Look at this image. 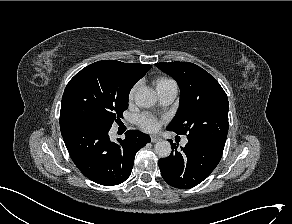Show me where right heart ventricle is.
<instances>
[{
    "label": "right heart ventricle",
    "mask_w": 292,
    "mask_h": 224,
    "mask_svg": "<svg viewBox=\"0 0 292 224\" xmlns=\"http://www.w3.org/2000/svg\"><path fill=\"white\" fill-rule=\"evenodd\" d=\"M171 83H175L174 81H172L171 79H167V78H160L156 81V88H160L163 87L167 84H171Z\"/></svg>",
    "instance_id": "e07e8e85"
}]
</instances>
